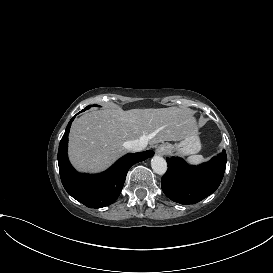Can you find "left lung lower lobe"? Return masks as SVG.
Here are the masks:
<instances>
[{"label":"left lung lower lobe","mask_w":273,"mask_h":273,"mask_svg":"<svg viewBox=\"0 0 273 273\" xmlns=\"http://www.w3.org/2000/svg\"><path fill=\"white\" fill-rule=\"evenodd\" d=\"M225 150L209 162L190 166L181 158H167L168 170L161 179L164 194L180 204H195L220 185L226 167Z\"/></svg>","instance_id":"0a47b994"}]
</instances>
